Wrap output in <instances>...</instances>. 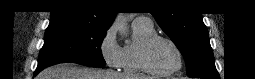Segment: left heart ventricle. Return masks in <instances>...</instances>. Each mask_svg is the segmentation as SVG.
Returning <instances> with one entry per match:
<instances>
[{
  "mask_svg": "<svg viewBox=\"0 0 255 79\" xmlns=\"http://www.w3.org/2000/svg\"><path fill=\"white\" fill-rule=\"evenodd\" d=\"M149 62L158 71H168L177 65L178 59L168 42L157 40L149 50Z\"/></svg>",
  "mask_w": 255,
  "mask_h": 79,
  "instance_id": "1",
  "label": "left heart ventricle"
}]
</instances>
